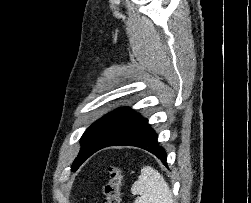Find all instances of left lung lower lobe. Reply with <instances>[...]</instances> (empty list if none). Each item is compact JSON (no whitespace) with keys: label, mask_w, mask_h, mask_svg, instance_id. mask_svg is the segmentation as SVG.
<instances>
[{"label":"left lung lower lobe","mask_w":251,"mask_h":203,"mask_svg":"<svg viewBox=\"0 0 251 203\" xmlns=\"http://www.w3.org/2000/svg\"><path fill=\"white\" fill-rule=\"evenodd\" d=\"M157 138L158 135L150 127L148 120L140 116L107 143L95 149L89 157L96 151L108 146H135L153 153L164 165H167L166 151L158 145Z\"/></svg>","instance_id":"left-lung-lower-lobe-1"}]
</instances>
